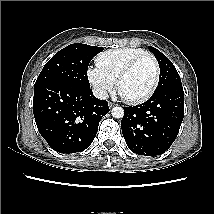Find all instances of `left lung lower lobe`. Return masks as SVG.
Returning a JSON list of instances; mask_svg holds the SVG:
<instances>
[{
    "label": "left lung lower lobe",
    "mask_w": 214,
    "mask_h": 214,
    "mask_svg": "<svg viewBox=\"0 0 214 214\" xmlns=\"http://www.w3.org/2000/svg\"><path fill=\"white\" fill-rule=\"evenodd\" d=\"M184 117L182 84L154 92L146 102L124 107L122 133L129 149L139 155L157 156L175 141Z\"/></svg>",
    "instance_id": "1"
}]
</instances>
